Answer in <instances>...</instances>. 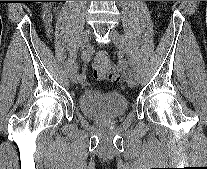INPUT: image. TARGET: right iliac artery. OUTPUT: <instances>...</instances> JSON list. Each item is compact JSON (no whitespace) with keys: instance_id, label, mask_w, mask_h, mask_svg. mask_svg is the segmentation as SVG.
<instances>
[{"instance_id":"obj_1","label":"right iliac artery","mask_w":207,"mask_h":169,"mask_svg":"<svg viewBox=\"0 0 207 169\" xmlns=\"http://www.w3.org/2000/svg\"><path fill=\"white\" fill-rule=\"evenodd\" d=\"M82 60L85 62V63H88L89 62V59H90V56H89V53L87 51H83L82 53ZM85 80V75L84 74H78V81L79 82H82Z\"/></svg>"}]
</instances>
